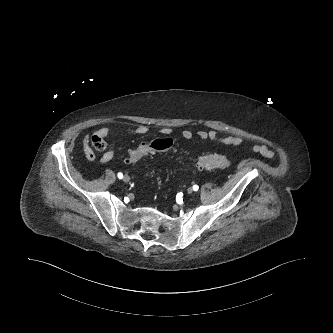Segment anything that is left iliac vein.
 <instances>
[{"mask_svg": "<svg viewBox=\"0 0 333 333\" xmlns=\"http://www.w3.org/2000/svg\"><path fill=\"white\" fill-rule=\"evenodd\" d=\"M187 193H188V194H192V193H193V188H192V187H189V188L187 189Z\"/></svg>", "mask_w": 333, "mask_h": 333, "instance_id": "left-iliac-vein-1", "label": "left iliac vein"}]
</instances>
